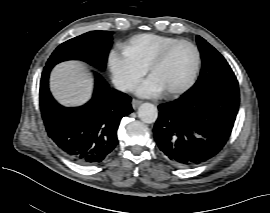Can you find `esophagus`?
Listing matches in <instances>:
<instances>
[{
	"label": "esophagus",
	"mask_w": 270,
	"mask_h": 213,
	"mask_svg": "<svg viewBox=\"0 0 270 213\" xmlns=\"http://www.w3.org/2000/svg\"><path fill=\"white\" fill-rule=\"evenodd\" d=\"M142 104V101L141 100H137V99H132V107L134 109H137L139 107V105Z\"/></svg>",
	"instance_id": "obj_1"
}]
</instances>
